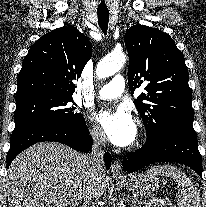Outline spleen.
<instances>
[{"label":"spleen","instance_id":"3e777b00","mask_svg":"<svg viewBox=\"0 0 206 207\" xmlns=\"http://www.w3.org/2000/svg\"><path fill=\"white\" fill-rule=\"evenodd\" d=\"M147 173L173 178L178 187L176 194L178 207H201L198 188L192 180L175 166L158 165L151 167Z\"/></svg>","mask_w":206,"mask_h":207}]
</instances>
